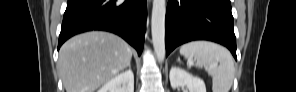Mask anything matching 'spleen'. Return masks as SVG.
<instances>
[{
    "label": "spleen",
    "instance_id": "spleen-1",
    "mask_svg": "<svg viewBox=\"0 0 296 92\" xmlns=\"http://www.w3.org/2000/svg\"><path fill=\"white\" fill-rule=\"evenodd\" d=\"M180 54L194 57L197 67L208 69L213 92H229L234 78V62L226 48L208 41H192L181 46Z\"/></svg>",
    "mask_w": 296,
    "mask_h": 92
}]
</instances>
